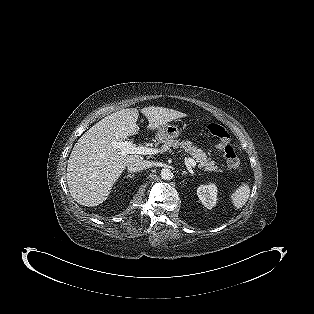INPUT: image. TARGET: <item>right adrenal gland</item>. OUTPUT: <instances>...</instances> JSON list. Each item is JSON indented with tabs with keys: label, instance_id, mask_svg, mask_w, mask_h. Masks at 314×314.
Wrapping results in <instances>:
<instances>
[{
	"label": "right adrenal gland",
	"instance_id": "obj_1",
	"mask_svg": "<svg viewBox=\"0 0 314 314\" xmlns=\"http://www.w3.org/2000/svg\"><path fill=\"white\" fill-rule=\"evenodd\" d=\"M134 177V174H128L127 176H126V178H133Z\"/></svg>",
	"mask_w": 314,
	"mask_h": 314
}]
</instances>
